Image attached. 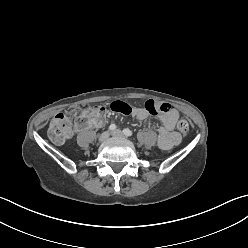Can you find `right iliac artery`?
<instances>
[{"label":"right iliac artery","instance_id":"82829eb1","mask_svg":"<svg viewBox=\"0 0 248 248\" xmlns=\"http://www.w3.org/2000/svg\"><path fill=\"white\" fill-rule=\"evenodd\" d=\"M115 129H116V125H115V124H111V125L109 126V130L113 131V130H115Z\"/></svg>","mask_w":248,"mask_h":248}]
</instances>
